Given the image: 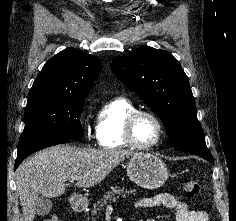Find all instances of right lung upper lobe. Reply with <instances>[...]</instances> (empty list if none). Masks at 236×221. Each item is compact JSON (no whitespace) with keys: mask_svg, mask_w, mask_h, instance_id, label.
Instances as JSON below:
<instances>
[{"mask_svg":"<svg viewBox=\"0 0 236 221\" xmlns=\"http://www.w3.org/2000/svg\"><path fill=\"white\" fill-rule=\"evenodd\" d=\"M101 67L98 58L67 48L46 62L28 96L86 97Z\"/></svg>","mask_w":236,"mask_h":221,"instance_id":"obj_1","label":"right lung upper lobe"}]
</instances>
